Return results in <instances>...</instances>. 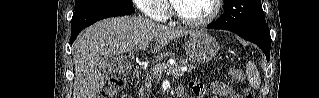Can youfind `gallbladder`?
Here are the masks:
<instances>
[{
  "mask_svg": "<svg viewBox=\"0 0 319 98\" xmlns=\"http://www.w3.org/2000/svg\"><path fill=\"white\" fill-rule=\"evenodd\" d=\"M102 67L106 69V73H121L128 69V63L122 58H104Z\"/></svg>",
  "mask_w": 319,
  "mask_h": 98,
  "instance_id": "1",
  "label": "gallbladder"
}]
</instances>
